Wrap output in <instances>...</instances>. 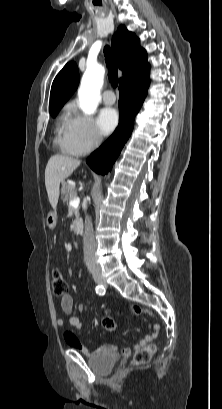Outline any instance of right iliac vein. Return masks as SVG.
Returning a JSON list of instances; mask_svg holds the SVG:
<instances>
[{
  "mask_svg": "<svg viewBox=\"0 0 222 409\" xmlns=\"http://www.w3.org/2000/svg\"><path fill=\"white\" fill-rule=\"evenodd\" d=\"M94 280L100 285H107L105 278L101 274L94 275Z\"/></svg>",
  "mask_w": 222,
  "mask_h": 409,
  "instance_id": "right-iliac-vein-1",
  "label": "right iliac vein"
}]
</instances>
